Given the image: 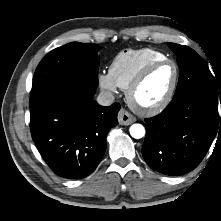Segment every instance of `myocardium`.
<instances>
[{
  "instance_id": "obj_1",
  "label": "myocardium",
  "mask_w": 221,
  "mask_h": 221,
  "mask_svg": "<svg viewBox=\"0 0 221 221\" xmlns=\"http://www.w3.org/2000/svg\"><path fill=\"white\" fill-rule=\"evenodd\" d=\"M170 64L174 68V77L172 83L165 94V96L156 104L152 106H142L135 99V93L138 88L143 84L148 75L154 70L156 67ZM179 81V67L178 65L171 59L165 58L161 60H156L148 63L133 79L128 88L126 89V97L129 105L138 113L143 115H155L163 111L172 101L175 91L177 89Z\"/></svg>"
}]
</instances>
